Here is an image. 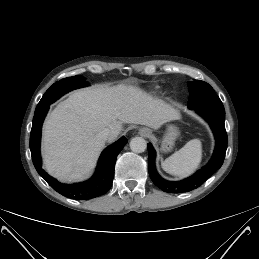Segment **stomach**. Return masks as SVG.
<instances>
[{
  "instance_id": "obj_1",
  "label": "stomach",
  "mask_w": 259,
  "mask_h": 259,
  "mask_svg": "<svg viewBox=\"0 0 259 259\" xmlns=\"http://www.w3.org/2000/svg\"><path fill=\"white\" fill-rule=\"evenodd\" d=\"M179 134L180 132L176 126L169 125L161 141V148H160L161 151L162 152L171 151Z\"/></svg>"
}]
</instances>
